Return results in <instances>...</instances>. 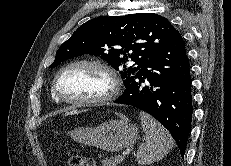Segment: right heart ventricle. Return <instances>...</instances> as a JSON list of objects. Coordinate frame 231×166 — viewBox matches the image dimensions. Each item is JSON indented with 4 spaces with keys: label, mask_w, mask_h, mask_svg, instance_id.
<instances>
[{
    "label": "right heart ventricle",
    "mask_w": 231,
    "mask_h": 166,
    "mask_svg": "<svg viewBox=\"0 0 231 166\" xmlns=\"http://www.w3.org/2000/svg\"><path fill=\"white\" fill-rule=\"evenodd\" d=\"M52 98L55 100V101H59V99L56 97V95L54 94V92H52Z\"/></svg>",
    "instance_id": "e07e8e85"
}]
</instances>
